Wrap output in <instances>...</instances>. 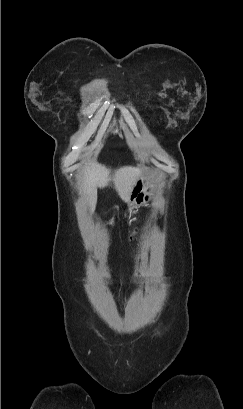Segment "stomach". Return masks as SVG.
<instances>
[{
	"mask_svg": "<svg viewBox=\"0 0 243 409\" xmlns=\"http://www.w3.org/2000/svg\"><path fill=\"white\" fill-rule=\"evenodd\" d=\"M158 185L159 182L155 179L153 174L145 173L140 175L132 187L128 198L130 209L141 205L147 206L153 199ZM113 223L114 218L110 220V224Z\"/></svg>",
	"mask_w": 243,
	"mask_h": 409,
	"instance_id": "stomach-1",
	"label": "stomach"
}]
</instances>
